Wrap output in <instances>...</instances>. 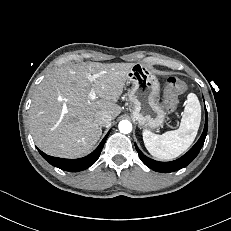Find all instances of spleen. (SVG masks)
Masks as SVG:
<instances>
[{
    "label": "spleen",
    "mask_w": 231,
    "mask_h": 231,
    "mask_svg": "<svg viewBox=\"0 0 231 231\" xmlns=\"http://www.w3.org/2000/svg\"><path fill=\"white\" fill-rule=\"evenodd\" d=\"M201 121V106L198 97L189 93L180 126L177 130L156 135L143 130V141L148 152L159 160L170 161L185 152L193 143Z\"/></svg>",
    "instance_id": "spleen-1"
}]
</instances>
